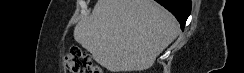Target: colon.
<instances>
[{"label":"colon","mask_w":244,"mask_h":73,"mask_svg":"<svg viewBox=\"0 0 244 73\" xmlns=\"http://www.w3.org/2000/svg\"><path fill=\"white\" fill-rule=\"evenodd\" d=\"M63 67L66 73H102L91 57L79 48L71 49L64 55Z\"/></svg>","instance_id":"colon-1"}]
</instances>
